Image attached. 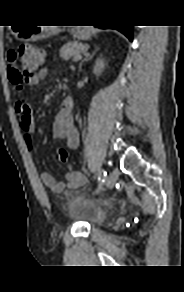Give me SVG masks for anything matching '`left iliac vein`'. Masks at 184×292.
I'll return each instance as SVG.
<instances>
[{
	"label": "left iliac vein",
	"mask_w": 184,
	"mask_h": 292,
	"mask_svg": "<svg viewBox=\"0 0 184 292\" xmlns=\"http://www.w3.org/2000/svg\"><path fill=\"white\" fill-rule=\"evenodd\" d=\"M118 177H119V170L118 169L112 170L107 178V186L112 187L118 180Z\"/></svg>",
	"instance_id": "left-iliac-vein-1"
}]
</instances>
